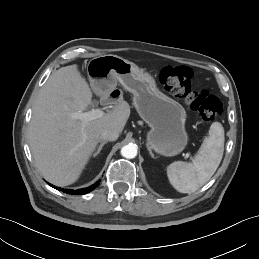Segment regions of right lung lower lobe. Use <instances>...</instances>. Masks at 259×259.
Here are the masks:
<instances>
[{
    "mask_svg": "<svg viewBox=\"0 0 259 259\" xmlns=\"http://www.w3.org/2000/svg\"><path fill=\"white\" fill-rule=\"evenodd\" d=\"M99 184V182L95 183L94 185L90 186V187H87V188H83V189H77V190H72V189H62V188H59V187H56V186H53L50 184V186H52L53 188L57 189V190H61L63 191L64 193H67V194H72V195H83V194H86V193H89L90 191H92L93 189H95V187H97Z\"/></svg>",
    "mask_w": 259,
    "mask_h": 259,
    "instance_id": "1",
    "label": "right lung lower lobe"
}]
</instances>
